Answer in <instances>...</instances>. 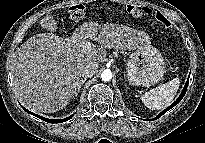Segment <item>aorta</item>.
<instances>
[{
    "label": "aorta",
    "instance_id": "1",
    "mask_svg": "<svg viewBox=\"0 0 205 143\" xmlns=\"http://www.w3.org/2000/svg\"><path fill=\"white\" fill-rule=\"evenodd\" d=\"M101 79L103 81H110L112 79V72L108 69L104 70L102 73H101Z\"/></svg>",
    "mask_w": 205,
    "mask_h": 143
}]
</instances>
